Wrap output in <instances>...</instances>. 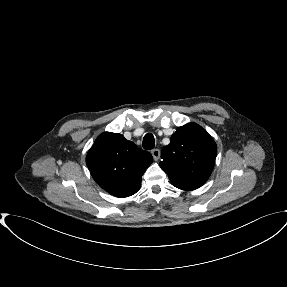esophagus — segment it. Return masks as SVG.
Instances as JSON below:
<instances>
[{"label": "esophagus", "instance_id": "1", "mask_svg": "<svg viewBox=\"0 0 287 287\" xmlns=\"http://www.w3.org/2000/svg\"><path fill=\"white\" fill-rule=\"evenodd\" d=\"M151 154H152L154 160H158L160 157V150L159 149H153L151 151Z\"/></svg>", "mask_w": 287, "mask_h": 287}]
</instances>
